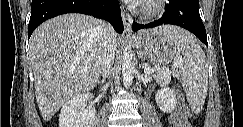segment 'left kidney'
Returning a JSON list of instances; mask_svg holds the SVG:
<instances>
[{
	"instance_id": "1",
	"label": "left kidney",
	"mask_w": 243,
	"mask_h": 127,
	"mask_svg": "<svg viewBox=\"0 0 243 127\" xmlns=\"http://www.w3.org/2000/svg\"><path fill=\"white\" fill-rule=\"evenodd\" d=\"M155 100L160 110L164 113H170L177 104L174 90L169 87L158 90L155 95Z\"/></svg>"
}]
</instances>
